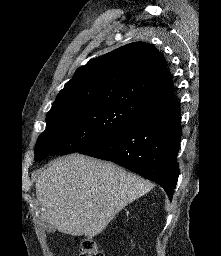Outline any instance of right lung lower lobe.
Returning <instances> with one entry per match:
<instances>
[{"label": "right lung lower lobe", "mask_w": 221, "mask_h": 256, "mask_svg": "<svg viewBox=\"0 0 221 256\" xmlns=\"http://www.w3.org/2000/svg\"><path fill=\"white\" fill-rule=\"evenodd\" d=\"M179 107L125 125L78 153L112 161L158 183L172 200L179 176Z\"/></svg>", "instance_id": "98d812e1"}]
</instances>
